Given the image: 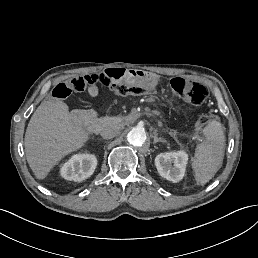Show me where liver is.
Returning <instances> with one entry per match:
<instances>
[{"instance_id": "1", "label": "liver", "mask_w": 258, "mask_h": 258, "mask_svg": "<svg viewBox=\"0 0 258 258\" xmlns=\"http://www.w3.org/2000/svg\"><path fill=\"white\" fill-rule=\"evenodd\" d=\"M86 111L73 110L60 100L46 101L33 113L25 134L27 162L39 179L67 153L82 146L87 139L81 128Z\"/></svg>"}]
</instances>
